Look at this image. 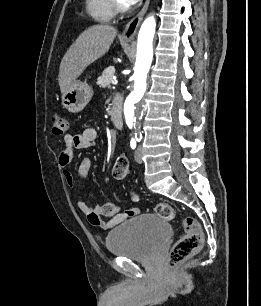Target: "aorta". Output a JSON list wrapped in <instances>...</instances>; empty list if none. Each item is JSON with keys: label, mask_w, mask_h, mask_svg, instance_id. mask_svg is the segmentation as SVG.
Instances as JSON below:
<instances>
[{"label": "aorta", "mask_w": 261, "mask_h": 306, "mask_svg": "<svg viewBox=\"0 0 261 306\" xmlns=\"http://www.w3.org/2000/svg\"><path fill=\"white\" fill-rule=\"evenodd\" d=\"M156 21L153 16L142 23L137 40V57L134 72V90L124 104V116L127 123L136 122L140 113V102L146 91V78L153 58V38Z\"/></svg>", "instance_id": "obj_1"}]
</instances>
